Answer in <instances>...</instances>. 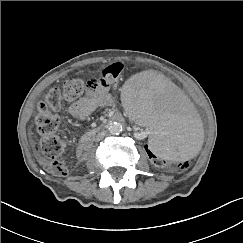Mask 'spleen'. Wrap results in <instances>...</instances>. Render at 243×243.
Masks as SVG:
<instances>
[{
  "label": "spleen",
  "instance_id": "spleen-1",
  "mask_svg": "<svg viewBox=\"0 0 243 243\" xmlns=\"http://www.w3.org/2000/svg\"><path fill=\"white\" fill-rule=\"evenodd\" d=\"M122 101L130 117L151 126L148 139L156 155L179 162L198 152L200 127L191 104L172 81L151 73L139 75L125 87Z\"/></svg>",
  "mask_w": 243,
  "mask_h": 243
}]
</instances>
